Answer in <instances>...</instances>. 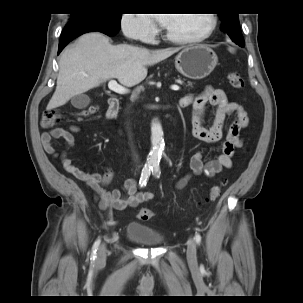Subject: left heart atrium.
Returning a JSON list of instances; mask_svg holds the SVG:
<instances>
[{"label":"left heart atrium","instance_id":"1","mask_svg":"<svg viewBox=\"0 0 303 303\" xmlns=\"http://www.w3.org/2000/svg\"><path fill=\"white\" fill-rule=\"evenodd\" d=\"M152 17L161 25L166 27L170 21V14H152Z\"/></svg>","mask_w":303,"mask_h":303}]
</instances>
